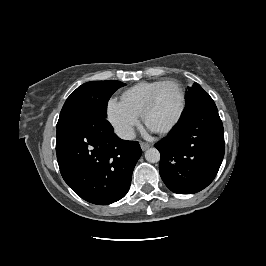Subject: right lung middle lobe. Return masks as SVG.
Segmentation results:
<instances>
[{
	"label": "right lung middle lobe",
	"mask_w": 266,
	"mask_h": 266,
	"mask_svg": "<svg viewBox=\"0 0 266 266\" xmlns=\"http://www.w3.org/2000/svg\"><path fill=\"white\" fill-rule=\"evenodd\" d=\"M126 84L116 81H91L79 86L67 98L57 123L56 140L80 123L94 117L106 118L111 95Z\"/></svg>",
	"instance_id": "obj_1"
}]
</instances>
